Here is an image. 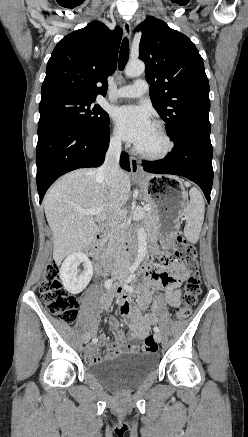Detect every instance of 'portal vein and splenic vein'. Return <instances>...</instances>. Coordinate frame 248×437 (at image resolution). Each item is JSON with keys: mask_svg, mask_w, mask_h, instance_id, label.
<instances>
[{"mask_svg": "<svg viewBox=\"0 0 248 437\" xmlns=\"http://www.w3.org/2000/svg\"><path fill=\"white\" fill-rule=\"evenodd\" d=\"M149 209H150L149 205H145L143 207L144 211H148ZM101 212H102L101 208H94V209H90V210H80V213L85 214V215H91V216H99Z\"/></svg>", "mask_w": 248, "mask_h": 437, "instance_id": "18ae733b", "label": "portal vein and splenic vein"}]
</instances>
